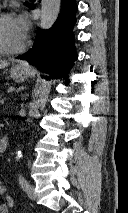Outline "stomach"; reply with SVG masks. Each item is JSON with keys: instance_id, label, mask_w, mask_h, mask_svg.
<instances>
[{"instance_id": "0dacf381", "label": "stomach", "mask_w": 128, "mask_h": 213, "mask_svg": "<svg viewBox=\"0 0 128 213\" xmlns=\"http://www.w3.org/2000/svg\"><path fill=\"white\" fill-rule=\"evenodd\" d=\"M31 70L29 67L18 64L11 68L10 70V77L16 81H24L30 75Z\"/></svg>"}]
</instances>
